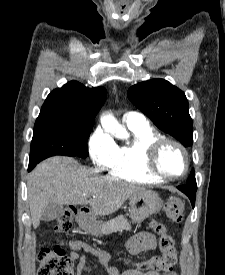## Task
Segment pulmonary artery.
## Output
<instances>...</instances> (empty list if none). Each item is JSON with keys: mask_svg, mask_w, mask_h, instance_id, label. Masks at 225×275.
<instances>
[{"mask_svg": "<svg viewBox=\"0 0 225 275\" xmlns=\"http://www.w3.org/2000/svg\"><path fill=\"white\" fill-rule=\"evenodd\" d=\"M123 120L128 126L148 124L146 117L138 112L130 111L123 115Z\"/></svg>", "mask_w": 225, "mask_h": 275, "instance_id": "obj_1", "label": "pulmonary artery"}]
</instances>
